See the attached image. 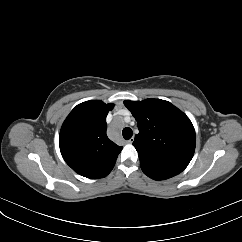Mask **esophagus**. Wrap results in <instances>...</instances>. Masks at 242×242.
<instances>
[{
  "label": "esophagus",
  "mask_w": 242,
  "mask_h": 242,
  "mask_svg": "<svg viewBox=\"0 0 242 242\" xmlns=\"http://www.w3.org/2000/svg\"><path fill=\"white\" fill-rule=\"evenodd\" d=\"M133 138H130L129 140L126 141L127 144H131L133 142Z\"/></svg>",
  "instance_id": "34e87169"
}]
</instances>
